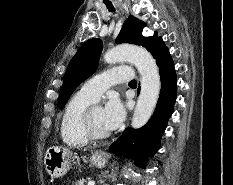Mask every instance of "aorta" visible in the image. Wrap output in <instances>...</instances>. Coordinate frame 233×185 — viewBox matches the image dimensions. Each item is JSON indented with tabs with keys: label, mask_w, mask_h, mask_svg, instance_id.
I'll return each instance as SVG.
<instances>
[{
	"label": "aorta",
	"mask_w": 233,
	"mask_h": 185,
	"mask_svg": "<svg viewBox=\"0 0 233 185\" xmlns=\"http://www.w3.org/2000/svg\"><path fill=\"white\" fill-rule=\"evenodd\" d=\"M104 61L112 64L129 61L141 75V91L133 113L131 125L134 129L143 127L150 119L160 94L161 81L152 55L142 47L120 45L104 55Z\"/></svg>",
	"instance_id": "obj_1"
}]
</instances>
